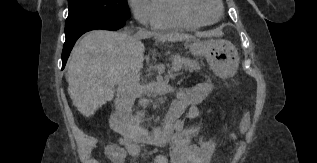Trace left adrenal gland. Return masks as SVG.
Instances as JSON below:
<instances>
[{
  "label": "left adrenal gland",
  "instance_id": "a2214340",
  "mask_svg": "<svg viewBox=\"0 0 317 163\" xmlns=\"http://www.w3.org/2000/svg\"><path fill=\"white\" fill-rule=\"evenodd\" d=\"M169 74H170V78H171L172 80H174V79L176 78V76L179 75L178 73L173 74L172 71H170Z\"/></svg>",
  "mask_w": 317,
  "mask_h": 163
}]
</instances>
